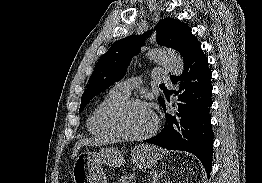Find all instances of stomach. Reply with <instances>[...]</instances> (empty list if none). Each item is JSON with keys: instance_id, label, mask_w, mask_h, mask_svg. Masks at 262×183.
I'll return each mask as SVG.
<instances>
[{"instance_id": "obj_1", "label": "stomach", "mask_w": 262, "mask_h": 183, "mask_svg": "<svg viewBox=\"0 0 262 183\" xmlns=\"http://www.w3.org/2000/svg\"><path fill=\"white\" fill-rule=\"evenodd\" d=\"M161 158L162 152L156 146L141 144L131 151V162L139 168H152ZM124 161L123 152L113 146L82 153L72 168L74 183H107L102 165L120 167Z\"/></svg>"}]
</instances>
